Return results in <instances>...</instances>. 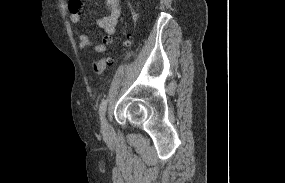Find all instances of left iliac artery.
<instances>
[{
  "label": "left iliac artery",
  "instance_id": "1",
  "mask_svg": "<svg viewBox=\"0 0 285 183\" xmlns=\"http://www.w3.org/2000/svg\"><path fill=\"white\" fill-rule=\"evenodd\" d=\"M107 104H108V99H103L101 104H100L99 115H100L101 120L103 119V117L105 115Z\"/></svg>",
  "mask_w": 285,
  "mask_h": 183
}]
</instances>
